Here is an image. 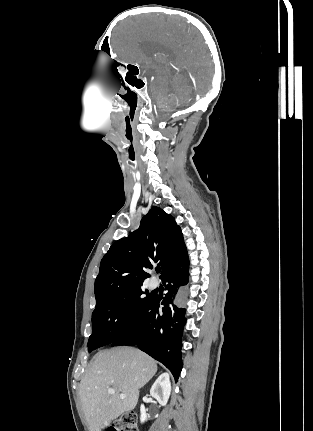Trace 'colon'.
I'll return each instance as SVG.
<instances>
[{
    "label": "colon",
    "mask_w": 313,
    "mask_h": 431,
    "mask_svg": "<svg viewBox=\"0 0 313 431\" xmlns=\"http://www.w3.org/2000/svg\"><path fill=\"white\" fill-rule=\"evenodd\" d=\"M107 431H138L136 414L124 413L110 425Z\"/></svg>",
    "instance_id": "1"
}]
</instances>
